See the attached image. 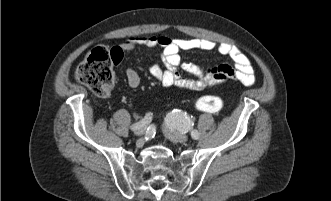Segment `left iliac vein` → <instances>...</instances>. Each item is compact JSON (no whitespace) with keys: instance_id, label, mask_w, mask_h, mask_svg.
I'll return each instance as SVG.
<instances>
[{"instance_id":"left-iliac-vein-1","label":"left iliac vein","mask_w":331,"mask_h":201,"mask_svg":"<svg viewBox=\"0 0 331 201\" xmlns=\"http://www.w3.org/2000/svg\"><path fill=\"white\" fill-rule=\"evenodd\" d=\"M166 137L173 142H179V143H184L188 140L187 135L179 134V133H166Z\"/></svg>"}]
</instances>
